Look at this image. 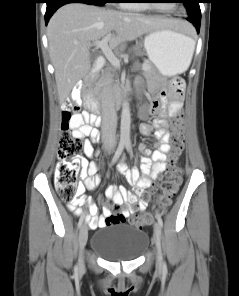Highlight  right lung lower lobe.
Here are the masks:
<instances>
[{
	"mask_svg": "<svg viewBox=\"0 0 239 296\" xmlns=\"http://www.w3.org/2000/svg\"><path fill=\"white\" fill-rule=\"evenodd\" d=\"M47 9H46V14H45V23L47 25L49 19L53 15V13L62 5L67 4V3H86V4H91L87 1L84 0H47Z\"/></svg>",
	"mask_w": 239,
	"mask_h": 296,
	"instance_id": "obj_1",
	"label": "right lung lower lobe"
}]
</instances>
